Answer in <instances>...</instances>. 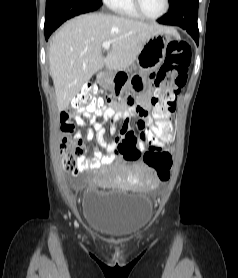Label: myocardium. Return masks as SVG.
<instances>
[{
  "instance_id": "myocardium-1",
  "label": "myocardium",
  "mask_w": 238,
  "mask_h": 278,
  "mask_svg": "<svg viewBox=\"0 0 238 278\" xmlns=\"http://www.w3.org/2000/svg\"><path fill=\"white\" fill-rule=\"evenodd\" d=\"M133 1V5L136 9V11L138 12V14L147 20H151V21H157L160 20L161 18H163L169 11V7H170V1L169 0H165V7L163 12L155 17L149 16L148 14L145 13V11L143 10L142 4H141V0H132Z\"/></svg>"
}]
</instances>
